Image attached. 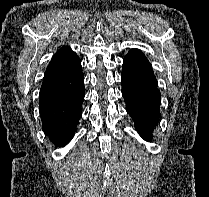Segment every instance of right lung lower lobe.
<instances>
[{
  "label": "right lung lower lobe",
  "mask_w": 209,
  "mask_h": 197,
  "mask_svg": "<svg viewBox=\"0 0 209 197\" xmlns=\"http://www.w3.org/2000/svg\"><path fill=\"white\" fill-rule=\"evenodd\" d=\"M83 98L81 60L71 52L46 70L39 94L42 129L54 144H65L73 137Z\"/></svg>",
  "instance_id": "right-lung-lower-lobe-1"
}]
</instances>
